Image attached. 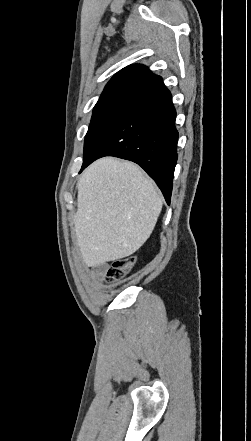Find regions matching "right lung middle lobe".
Listing matches in <instances>:
<instances>
[{
    "label": "right lung middle lobe",
    "mask_w": 251,
    "mask_h": 441,
    "mask_svg": "<svg viewBox=\"0 0 251 441\" xmlns=\"http://www.w3.org/2000/svg\"><path fill=\"white\" fill-rule=\"evenodd\" d=\"M131 100H105L96 103L84 141L83 161L107 129L134 103Z\"/></svg>",
    "instance_id": "obj_1"
}]
</instances>
